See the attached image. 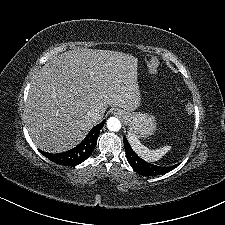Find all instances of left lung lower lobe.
Instances as JSON below:
<instances>
[{"instance_id": "0a47b994", "label": "left lung lower lobe", "mask_w": 225, "mask_h": 225, "mask_svg": "<svg viewBox=\"0 0 225 225\" xmlns=\"http://www.w3.org/2000/svg\"><path fill=\"white\" fill-rule=\"evenodd\" d=\"M124 147L126 151V157L131 165V167L139 174L143 176H154V175H160V174H165L173 169H175L179 164L169 166V167H161V166H156L147 163L143 159H141L131 148L129 145L126 137L124 136Z\"/></svg>"}]
</instances>
